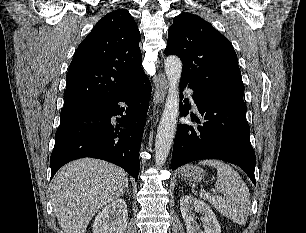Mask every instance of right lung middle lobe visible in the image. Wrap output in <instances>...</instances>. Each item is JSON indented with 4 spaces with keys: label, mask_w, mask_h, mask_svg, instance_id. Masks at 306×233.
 Segmentation results:
<instances>
[{
    "label": "right lung middle lobe",
    "mask_w": 306,
    "mask_h": 233,
    "mask_svg": "<svg viewBox=\"0 0 306 233\" xmlns=\"http://www.w3.org/2000/svg\"><path fill=\"white\" fill-rule=\"evenodd\" d=\"M85 106H88V105H78V106H70V107H64L62 110H61V114H64L66 112H69V111H73V110H76V109H80V108H83Z\"/></svg>",
    "instance_id": "1"
}]
</instances>
